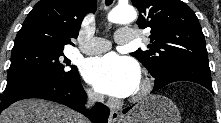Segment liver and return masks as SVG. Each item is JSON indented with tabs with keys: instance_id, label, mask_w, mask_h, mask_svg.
Wrapping results in <instances>:
<instances>
[{
	"instance_id": "6515ba94",
	"label": "liver",
	"mask_w": 221,
	"mask_h": 123,
	"mask_svg": "<svg viewBox=\"0 0 221 123\" xmlns=\"http://www.w3.org/2000/svg\"><path fill=\"white\" fill-rule=\"evenodd\" d=\"M77 112L60 104L37 99L21 100L0 115V123H85Z\"/></svg>"
}]
</instances>
